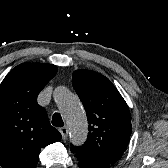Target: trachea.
<instances>
[{"label": "trachea", "mask_w": 168, "mask_h": 168, "mask_svg": "<svg viewBox=\"0 0 168 168\" xmlns=\"http://www.w3.org/2000/svg\"><path fill=\"white\" fill-rule=\"evenodd\" d=\"M52 124L56 127L64 126V122H63L62 117L59 113H54V115L52 117Z\"/></svg>", "instance_id": "obj_1"}]
</instances>
